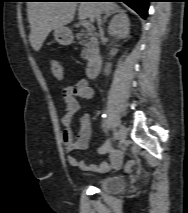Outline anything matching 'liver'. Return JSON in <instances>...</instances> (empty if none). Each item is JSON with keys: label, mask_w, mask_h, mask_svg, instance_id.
<instances>
[{"label": "liver", "mask_w": 188, "mask_h": 213, "mask_svg": "<svg viewBox=\"0 0 188 213\" xmlns=\"http://www.w3.org/2000/svg\"><path fill=\"white\" fill-rule=\"evenodd\" d=\"M78 2H28L27 16L30 23L29 41L39 51L48 34L70 23ZM118 8L113 2H80L79 17L94 22L96 14L107 13Z\"/></svg>", "instance_id": "liver-1"}]
</instances>
